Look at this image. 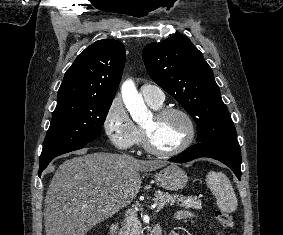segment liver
Masks as SVG:
<instances>
[{"label": "liver", "instance_id": "liver-1", "mask_svg": "<svg viewBox=\"0 0 283 235\" xmlns=\"http://www.w3.org/2000/svg\"><path fill=\"white\" fill-rule=\"evenodd\" d=\"M76 154L59 166L47 190L46 235H85L136 198L142 183L139 171L167 164L125 154H86V150Z\"/></svg>", "mask_w": 283, "mask_h": 235}]
</instances>
